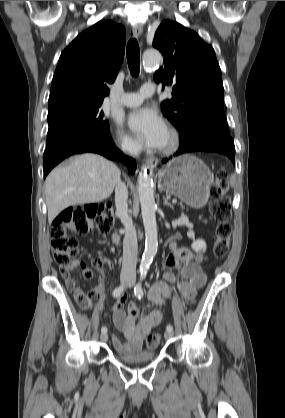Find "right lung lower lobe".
Returning <instances> with one entry per match:
<instances>
[{
    "mask_svg": "<svg viewBox=\"0 0 285 418\" xmlns=\"http://www.w3.org/2000/svg\"><path fill=\"white\" fill-rule=\"evenodd\" d=\"M85 152L98 153L108 159L121 160L128 166L130 173L135 172V160L125 157L115 147L110 133L104 135L81 133L65 137L47 147L43 155L44 178L64 158L72 154Z\"/></svg>",
    "mask_w": 285,
    "mask_h": 418,
    "instance_id": "98d812e1",
    "label": "right lung lower lobe"
}]
</instances>
